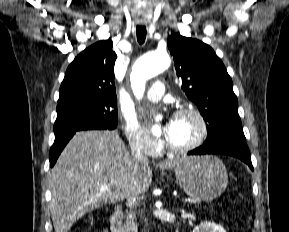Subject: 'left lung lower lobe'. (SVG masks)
Returning <instances> with one entry per match:
<instances>
[{
    "instance_id": "obj_1",
    "label": "left lung lower lobe",
    "mask_w": 289,
    "mask_h": 232,
    "mask_svg": "<svg viewBox=\"0 0 289 232\" xmlns=\"http://www.w3.org/2000/svg\"><path fill=\"white\" fill-rule=\"evenodd\" d=\"M204 154H224L236 157L244 161L253 170L251 157L245 140L236 139L223 141L211 145H202L190 152L188 155H204Z\"/></svg>"
}]
</instances>
